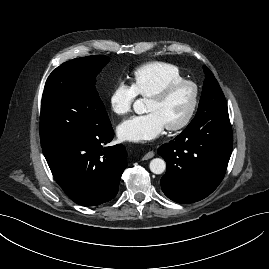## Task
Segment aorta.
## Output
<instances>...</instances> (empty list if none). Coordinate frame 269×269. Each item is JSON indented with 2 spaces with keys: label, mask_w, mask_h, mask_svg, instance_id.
<instances>
[{
  "label": "aorta",
  "mask_w": 269,
  "mask_h": 269,
  "mask_svg": "<svg viewBox=\"0 0 269 269\" xmlns=\"http://www.w3.org/2000/svg\"><path fill=\"white\" fill-rule=\"evenodd\" d=\"M133 109L137 114H142L145 111V101L138 99L133 104ZM149 168L154 174H162L166 169V163L161 158H154L151 160Z\"/></svg>",
  "instance_id": "762f6f07"
}]
</instances>
